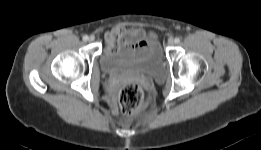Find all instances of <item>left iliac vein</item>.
<instances>
[{"instance_id":"1","label":"left iliac vein","mask_w":261,"mask_h":150,"mask_svg":"<svg viewBox=\"0 0 261 150\" xmlns=\"http://www.w3.org/2000/svg\"><path fill=\"white\" fill-rule=\"evenodd\" d=\"M175 43L174 39L173 38H169L168 39V44L169 45H173Z\"/></svg>"}]
</instances>
